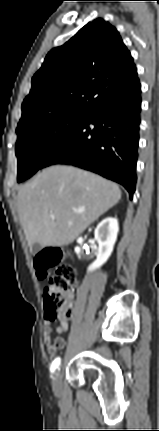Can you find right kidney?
<instances>
[{
    "label": "right kidney",
    "mask_w": 159,
    "mask_h": 431,
    "mask_svg": "<svg viewBox=\"0 0 159 431\" xmlns=\"http://www.w3.org/2000/svg\"><path fill=\"white\" fill-rule=\"evenodd\" d=\"M118 221L115 218H106L95 229V239L99 248L96 260L88 267V271L100 268L110 257L118 234Z\"/></svg>",
    "instance_id": "obj_1"
}]
</instances>
